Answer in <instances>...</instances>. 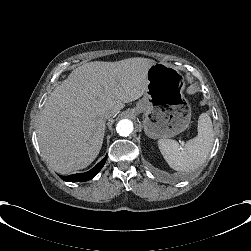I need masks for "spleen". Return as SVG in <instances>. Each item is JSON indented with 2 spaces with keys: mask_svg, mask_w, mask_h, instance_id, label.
Here are the masks:
<instances>
[{
  "mask_svg": "<svg viewBox=\"0 0 251 251\" xmlns=\"http://www.w3.org/2000/svg\"><path fill=\"white\" fill-rule=\"evenodd\" d=\"M214 142V129L210 115L203 112L198 118L197 138L188 141L183 147L172 139L159 140V149L170 165L179 172H192L206 161Z\"/></svg>",
  "mask_w": 251,
  "mask_h": 251,
  "instance_id": "spleen-1",
  "label": "spleen"
}]
</instances>
